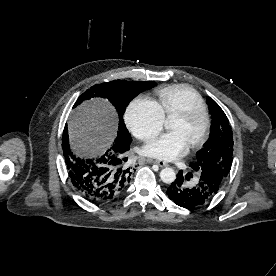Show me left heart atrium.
<instances>
[{
    "label": "left heart atrium",
    "mask_w": 276,
    "mask_h": 276,
    "mask_svg": "<svg viewBox=\"0 0 276 276\" xmlns=\"http://www.w3.org/2000/svg\"><path fill=\"white\" fill-rule=\"evenodd\" d=\"M189 148L185 137L172 131L149 142L143 151L145 155L157 160L174 161L187 154Z\"/></svg>",
    "instance_id": "1"
}]
</instances>
